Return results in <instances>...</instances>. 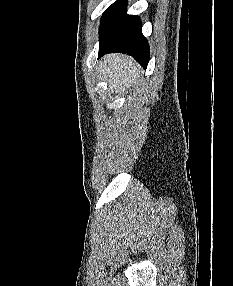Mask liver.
<instances>
[{"mask_svg": "<svg viewBox=\"0 0 233 286\" xmlns=\"http://www.w3.org/2000/svg\"><path fill=\"white\" fill-rule=\"evenodd\" d=\"M102 77L108 82L109 89L117 93L133 90L141 77L140 67L126 55L110 54L100 60Z\"/></svg>", "mask_w": 233, "mask_h": 286, "instance_id": "1", "label": "liver"}]
</instances>
